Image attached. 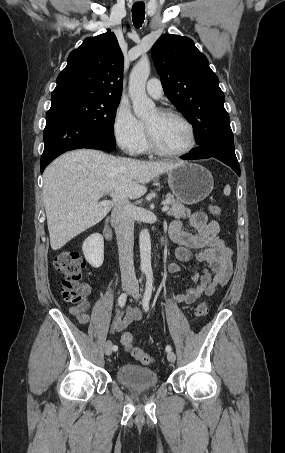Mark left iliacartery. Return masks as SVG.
I'll return each instance as SVG.
<instances>
[{"mask_svg": "<svg viewBox=\"0 0 285 453\" xmlns=\"http://www.w3.org/2000/svg\"><path fill=\"white\" fill-rule=\"evenodd\" d=\"M146 276H147L146 287H145V292H144L143 299H142V305H143V309L145 311H148L149 302L151 299L152 289H153V274H152V272H147ZM165 349L167 352H170L172 350L170 345H167Z\"/></svg>", "mask_w": 285, "mask_h": 453, "instance_id": "1", "label": "left iliac artery"}]
</instances>
